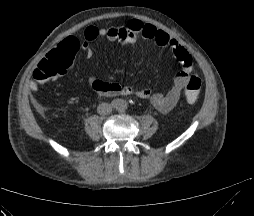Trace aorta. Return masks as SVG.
Masks as SVG:
<instances>
[{"instance_id": "1", "label": "aorta", "mask_w": 254, "mask_h": 216, "mask_svg": "<svg viewBox=\"0 0 254 216\" xmlns=\"http://www.w3.org/2000/svg\"><path fill=\"white\" fill-rule=\"evenodd\" d=\"M114 106L119 111H124L127 108V102L124 99H116Z\"/></svg>"}]
</instances>
